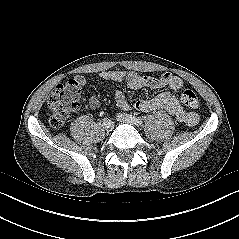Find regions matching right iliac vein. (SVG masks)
Returning <instances> with one entry per match:
<instances>
[{
  "mask_svg": "<svg viewBox=\"0 0 239 239\" xmlns=\"http://www.w3.org/2000/svg\"><path fill=\"white\" fill-rule=\"evenodd\" d=\"M104 128H105L107 131H111V130L114 128V126L111 127V126L106 125V123H105V124H104Z\"/></svg>",
  "mask_w": 239,
  "mask_h": 239,
  "instance_id": "right-iliac-vein-1",
  "label": "right iliac vein"
}]
</instances>
